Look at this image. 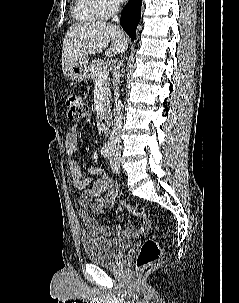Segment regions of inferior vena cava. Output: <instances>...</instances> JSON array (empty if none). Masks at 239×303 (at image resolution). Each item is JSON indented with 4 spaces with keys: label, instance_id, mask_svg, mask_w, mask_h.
Wrapping results in <instances>:
<instances>
[{
    "label": "inferior vena cava",
    "instance_id": "obj_1",
    "mask_svg": "<svg viewBox=\"0 0 239 303\" xmlns=\"http://www.w3.org/2000/svg\"><path fill=\"white\" fill-rule=\"evenodd\" d=\"M112 21L118 22V16L113 17ZM121 64L119 63L116 67V73L119 74ZM114 96H115V108H114V126L112 133L109 138V145L111 151L120 149V131L122 128V119H123V105L119 99V83L118 79L114 81Z\"/></svg>",
    "mask_w": 239,
    "mask_h": 303
}]
</instances>
